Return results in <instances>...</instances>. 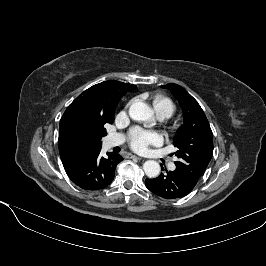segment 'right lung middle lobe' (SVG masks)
<instances>
[{
  "label": "right lung middle lobe",
  "instance_id": "right-lung-middle-lobe-1",
  "mask_svg": "<svg viewBox=\"0 0 266 266\" xmlns=\"http://www.w3.org/2000/svg\"><path fill=\"white\" fill-rule=\"evenodd\" d=\"M114 120H98L96 122H93L90 126L91 132L93 135H95L98 139H101V137L105 136L106 129L104 128V125L106 123L112 124Z\"/></svg>",
  "mask_w": 266,
  "mask_h": 266
}]
</instances>
